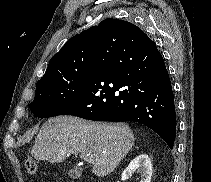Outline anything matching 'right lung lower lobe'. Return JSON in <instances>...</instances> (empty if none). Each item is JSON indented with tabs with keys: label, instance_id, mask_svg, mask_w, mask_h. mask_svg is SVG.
<instances>
[{
	"label": "right lung lower lobe",
	"instance_id": "98d812e1",
	"mask_svg": "<svg viewBox=\"0 0 211 182\" xmlns=\"http://www.w3.org/2000/svg\"><path fill=\"white\" fill-rule=\"evenodd\" d=\"M59 115L142 123L172 149L176 134L174 96L156 44L150 39L131 41L121 26L102 33L88 82Z\"/></svg>",
	"mask_w": 211,
	"mask_h": 182
}]
</instances>
